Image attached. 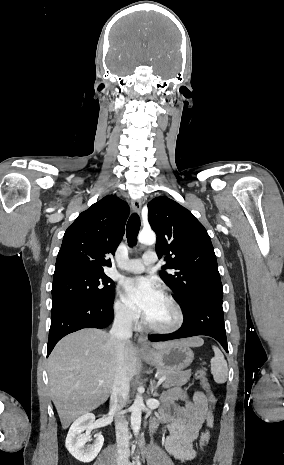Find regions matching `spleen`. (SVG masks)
I'll return each mask as SVG.
<instances>
[{
  "instance_id": "spleen-1",
  "label": "spleen",
  "mask_w": 284,
  "mask_h": 465,
  "mask_svg": "<svg viewBox=\"0 0 284 465\" xmlns=\"http://www.w3.org/2000/svg\"><path fill=\"white\" fill-rule=\"evenodd\" d=\"M215 357L211 359V373L215 383H226L228 367L223 353L218 347H212Z\"/></svg>"
}]
</instances>
